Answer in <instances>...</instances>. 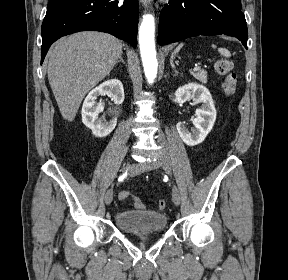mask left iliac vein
<instances>
[{"mask_svg":"<svg viewBox=\"0 0 288 280\" xmlns=\"http://www.w3.org/2000/svg\"><path fill=\"white\" fill-rule=\"evenodd\" d=\"M142 167L145 170H154L162 167L165 171H170L169 161L167 159H158L157 161L147 162L144 163ZM172 200L175 205L178 206L180 204L181 196L177 188L172 190Z\"/></svg>","mask_w":288,"mask_h":280,"instance_id":"1","label":"left iliac vein"}]
</instances>
